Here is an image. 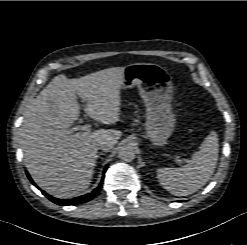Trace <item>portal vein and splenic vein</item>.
Wrapping results in <instances>:
<instances>
[{
    "label": "portal vein and splenic vein",
    "instance_id": "18ae733b",
    "mask_svg": "<svg viewBox=\"0 0 247 245\" xmlns=\"http://www.w3.org/2000/svg\"><path fill=\"white\" fill-rule=\"evenodd\" d=\"M71 132H74V131H77V130H83L87 133H90L91 132V125L90 124H86V125H83V126H76V127H73L72 129H70ZM176 161L178 164H182V160L179 159V157H176Z\"/></svg>",
    "mask_w": 247,
    "mask_h": 245
}]
</instances>
